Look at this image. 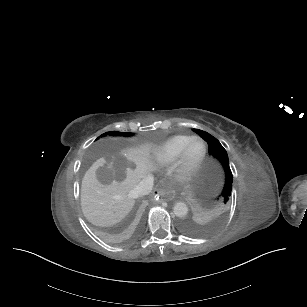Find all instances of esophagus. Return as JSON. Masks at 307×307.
<instances>
[{
    "label": "esophagus",
    "mask_w": 307,
    "mask_h": 307,
    "mask_svg": "<svg viewBox=\"0 0 307 307\" xmlns=\"http://www.w3.org/2000/svg\"><path fill=\"white\" fill-rule=\"evenodd\" d=\"M158 194L160 195L161 199L164 201H170L175 197V191L174 190H159Z\"/></svg>",
    "instance_id": "1"
}]
</instances>
